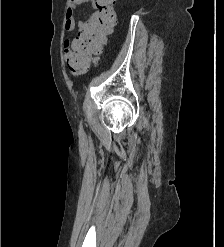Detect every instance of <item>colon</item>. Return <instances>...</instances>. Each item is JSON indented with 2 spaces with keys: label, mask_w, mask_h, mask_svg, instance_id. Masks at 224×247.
Returning <instances> with one entry per match:
<instances>
[{
  "label": "colon",
  "mask_w": 224,
  "mask_h": 247,
  "mask_svg": "<svg viewBox=\"0 0 224 247\" xmlns=\"http://www.w3.org/2000/svg\"><path fill=\"white\" fill-rule=\"evenodd\" d=\"M115 0H98L92 17L85 22L77 37L78 52L68 63L73 74H81L89 67L87 54L98 51L116 24Z\"/></svg>",
  "instance_id": "5ec220e1"
}]
</instances>
